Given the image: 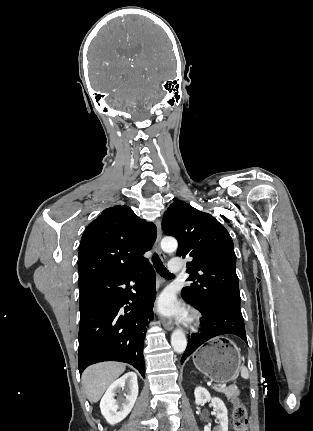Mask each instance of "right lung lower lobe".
Instances as JSON below:
<instances>
[{
  "label": "right lung lower lobe",
  "mask_w": 313,
  "mask_h": 431,
  "mask_svg": "<svg viewBox=\"0 0 313 431\" xmlns=\"http://www.w3.org/2000/svg\"><path fill=\"white\" fill-rule=\"evenodd\" d=\"M130 282H135L134 287ZM79 290L80 374L93 363L120 361L144 377L143 341L156 298L152 266L147 263L132 273L84 280Z\"/></svg>",
  "instance_id": "right-lung-lower-lobe-1"
}]
</instances>
